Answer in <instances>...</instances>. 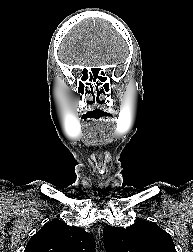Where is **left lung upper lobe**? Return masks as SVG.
Segmentation results:
<instances>
[{"instance_id":"1","label":"left lung upper lobe","mask_w":193,"mask_h":252,"mask_svg":"<svg viewBox=\"0 0 193 252\" xmlns=\"http://www.w3.org/2000/svg\"><path fill=\"white\" fill-rule=\"evenodd\" d=\"M107 252H177L172 237L156 223L138 220L128 228L105 226Z\"/></svg>"}]
</instances>
